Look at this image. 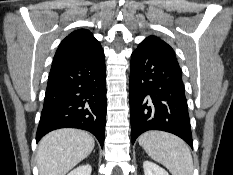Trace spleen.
<instances>
[{
    "label": "spleen",
    "instance_id": "obj_1",
    "mask_svg": "<svg viewBox=\"0 0 233 175\" xmlns=\"http://www.w3.org/2000/svg\"><path fill=\"white\" fill-rule=\"evenodd\" d=\"M139 145L172 175H192L193 160L188 145L179 137L160 131H148L139 137Z\"/></svg>",
    "mask_w": 233,
    "mask_h": 175
}]
</instances>
